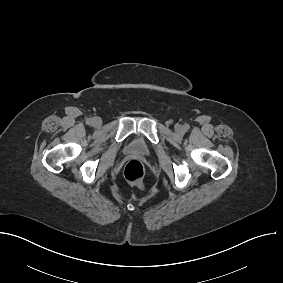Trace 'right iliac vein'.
Masks as SVG:
<instances>
[{
    "instance_id": "right-iliac-vein-1",
    "label": "right iliac vein",
    "mask_w": 283,
    "mask_h": 283,
    "mask_svg": "<svg viewBox=\"0 0 283 283\" xmlns=\"http://www.w3.org/2000/svg\"><path fill=\"white\" fill-rule=\"evenodd\" d=\"M95 126H100L102 121L99 117H95L93 118V122H92Z\"/></svg>"
}]
</instances>
